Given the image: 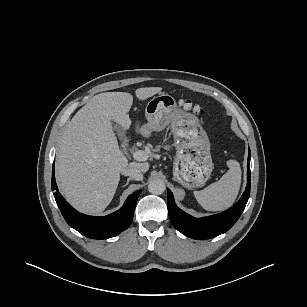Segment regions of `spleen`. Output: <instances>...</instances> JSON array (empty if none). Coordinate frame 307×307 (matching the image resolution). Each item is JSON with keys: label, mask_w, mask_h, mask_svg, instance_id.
<instances>
[{"label": "spleen", "mask_w": 307, "mask_h": 307, "mask_svg": "<svg viewBox=\"0 0 307 307\" xmlns=\"http://www.w3.org/2000/svg\"><path fill=\"white\" fill-rule=\"evenodd\" d=\"M229 170L219 181L201 191H194L198 203L207 211H223L231 207L241 184V168L236 160L227 162Z\"/></svg>", "instance_id": "obj_1"}]
</instances>
